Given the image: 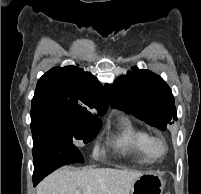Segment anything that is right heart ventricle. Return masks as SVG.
Returning a JSON list of instances; mask_svg holds the SVG:
<instances>
[{
  "label": "right heart ventricle",
  "mask_w": 201,
  "mask_h": 194,
  "mask_svg": "<svg viewBox=\"0 0 201 194\" xmlns=\"http://www.w3.org/2000/svg\"><path fill=\"white\" fill-rule=\"evenodd\" d=\"M120 124V131L114 140L117 148L136 155L142 162H153L156 158L148 148L150 134L143 128L136 126L128 118H122Z\"/></svg>",
  "instance_id": "right-heart-ventricle-1"
}]
</instances>
